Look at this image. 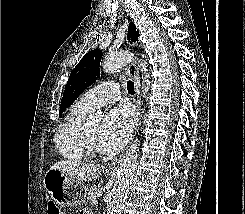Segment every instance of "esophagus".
<instances>
[{
  "label": "esophagus",
  "mask_w": 245,
  "mask_h": 214,
  "mask_svg": "<svg viewBox=\"0 0 245 214\" xmlns=\"http://www.w3.org/2000/svg\"><path fill=\"white\" fill-rule=\"evenodd\" d=\"M127 72L130 76V78L133 80L134 85H135V95H134V102L137 108V122L136 125L140 124V120H141V96H140V75H139V71H138V67L136 65L135 62H132L131 64H129ZM122 158V155L119 158L114 159L111 162V166H115L117 163L120 162Z\"/></svg>",
  "instance_id": "esophagus-1"
}]
</instances>
